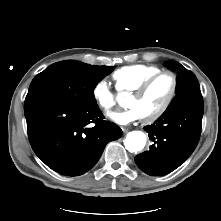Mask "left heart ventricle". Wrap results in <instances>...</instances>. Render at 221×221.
<instances>
[{
	"instance_id": "left-heart-ventricle-1",
	"label": "left heart ventricle",
	"mask_w": 221,
	"mask_h": 221,
	"mask_svg": "<svg viewBox=\"0 0 221 221\" xmlns=\"http://www.w3.org/2000/svg\"><path fill=\"white\" fill-rule=\"evenodd\" d=\"M171 89V77L163 75L158 78L143 96L132 95L128 100V107L135 108L142 117L157 111L166 101Z\"/></svg>"
}]
</instances>
